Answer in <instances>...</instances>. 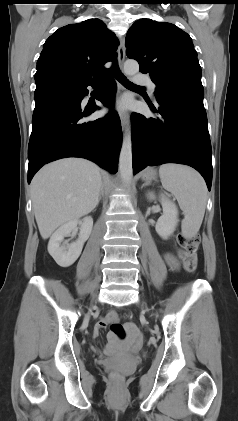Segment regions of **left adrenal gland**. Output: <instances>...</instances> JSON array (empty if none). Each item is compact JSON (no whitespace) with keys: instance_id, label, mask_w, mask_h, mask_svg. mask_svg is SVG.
Segmentation results:
<instances>
[{"instance_id":"obj_1","label":"left adrenal gland","mask_w":238,"mask_h":421,"mask_svg":"<svg viewBox=\"0 0 238 421\" xmlns=\"http://www.w3.org/2000/svg\"><path fill=\"white\" fill-rule=\"evenodd\" d=\"M148 184H149L148 182L143 183L142 186H141V188L147 186Z\"/></svg>"}]
</instances>
